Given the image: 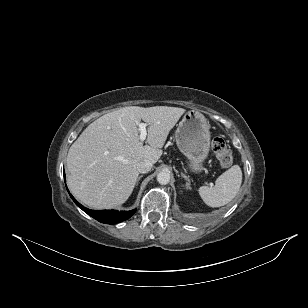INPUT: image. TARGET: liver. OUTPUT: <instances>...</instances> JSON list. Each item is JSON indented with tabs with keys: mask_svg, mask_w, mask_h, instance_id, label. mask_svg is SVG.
<instances>
[{
	"mask_svg": "<svg viewBox=\"0 0 308 308\" xmlns=\"http://www.w3.org/2000/svg\"><path fill=\"white\" fill-rule=\"evenodd\" d=\"M184 113L178 107L130 106L92 122L67 155V184L75 198L94 209L123 204L136 184L137 163L159 160L170 130ZM141 121L148 125V145L139 139Z\"/></svg>",
	"mask_w": 308,
	"mask_h": 308,
	"instance_id": "1",
	"label": "liver"
}]
</instances>
